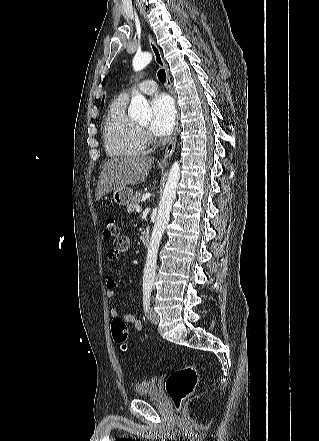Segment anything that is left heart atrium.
Segmentation results:
<instances>
[{"mask_svg":"<svg viewBox=\"0 0 319 441\" xmlns=\"http://www.w3.org/2000/svg\"><path fill=\"white\" fill-rule=\"evenodd\" d=\"M152 120L150 129L156 136L168 135L174 126L175 106L172 99L165 94H158L151 100Z\"/></svg>","mask_w":319,"mask_h":441,"instance_id":"1","label":"left heart atrium"}]
</instances>
